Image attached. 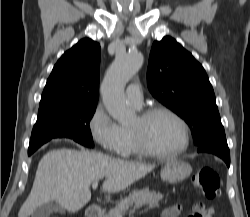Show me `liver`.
Masks as SVG:
<instances>
[{
    "mask_svg": "<svg viewBox=\"0 0 250 217\" xmlns=\"http://www.w3.org/2000/svg\"><path fill=\"white\" fill-rule=\"evenodd\" d=\"M154 168V165L125 161L101 153L74 149L49 151L38 164L33 187L18 217H28L39 206L51 201L76 212L90 201L93 182L105 177L101 191L110 196L126 189Z\"/></svg>",
    "mask_w": 250,
    "mask_h": 217,
    "instance_id": "obj_1",
    "label": "liver"
}]
</instances>
